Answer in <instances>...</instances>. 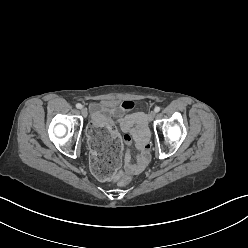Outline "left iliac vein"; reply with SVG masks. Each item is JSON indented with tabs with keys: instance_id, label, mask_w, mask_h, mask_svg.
I'll return each mask as SVG.
<instances>
[{
	"instance_id": "obj_1",
	"label": "left iliac vein",
	"mask_w": 248,
	"mask_h": 248,
	"mask_svg": "<svg viewBox=\"0 0 248 248\" xmlns=\"http://www.w3.org/2000/svg\"><path fill=\"white\" fill-rule=\"evenodd\" d=\"M155 112L154 111H151L149 114H148V121H152L154 118H155Z\"/></svg>"
}]
</instances>
